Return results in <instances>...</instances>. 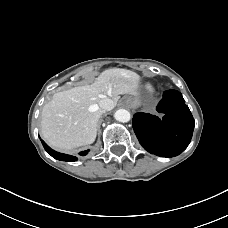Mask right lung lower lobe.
I'll return each instance as SVG.
<instances>
[{"label":"right lung lower lobe","mask_w":228,"mask_h":228,"mask_svg":"<svg viewBox=\"0 0 228 228\" xmlns=\"http://www.w3.org/2000/svg\"><path fill=\"white\" fill-rule=\"evenodd\" d=\"M41 142L43 144L44 149L47 151V153H49L55 159L62 160V161H69V162L78 160V158L76 156L56 152V151L52 150L43 140H41ZM88 152H89V150L82 151L79 153V155L84 156V155H87Z\"/></svg>","instance_id":"obj_1"}]
</instances>
